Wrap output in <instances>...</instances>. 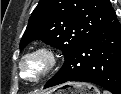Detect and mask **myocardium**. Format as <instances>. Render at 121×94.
Wrapping results in <instances>:
<instances>
[{
	"label": "myocardium",
	"mask_w": 121,
	"mask_h": 94,
	"mask_svg": "<svg viewBox=\"0 0 121 94\" xmlns=\"http://www.w3.org/2000/svg\"><path fill=\"white\" fill-rule=\"evenodd\" d=\"M32 59H40L43 63V70L36 78L25 76V80L31 83L44 81L55 69L58 58L53 49L48 46H40L25 53L20 59L18 66L21 73H25V63Z\"/></svg>",
	"instance_id": "obj_1"
}]
</instances>
